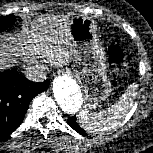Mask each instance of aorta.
Wrapping results in <instances>:
<instances>
[{
	"mask_svg": "<svg viewBox=\"0 0 153 153\" xmlns=\"http://www.w3.org/2000/svg\"><path fill=\"white\" fill-rule=\"evenodd\" d=\"M53 93L58 105L67 114H75L82 105V94L78 85L67 76L54 80Z\"/></svg>",
	"mask_w": 153,
	"mask_h": 153,
	"instance_id": "obj_1",
	"label": "aorta"
}]
</instances>
